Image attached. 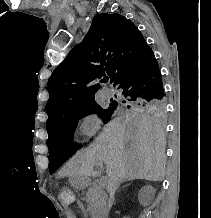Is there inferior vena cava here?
<instances>
[{
    "mask_svg": "<svg viewBox=\"0 0 211 218\" xmlns=\"http://www.w3.org/2000/svg\"><path fill=\"white\" fill-rule=\"evenodd\" d=\"M108 182H107V192L109 194L108 198V208L111 206V202L114 200L115 192L120 184V178H115L113 174L107 172Z\"/></svg>",
    "mask_w": 211,
    "mask_h": 218,
    "instance_id": "1",
    "label": "inferior vena cava"
}]
</instances>
